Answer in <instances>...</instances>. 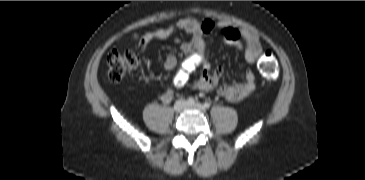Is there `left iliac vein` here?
Listing matches in <instances>:
<instances>
[{"instance_id": "obj_1", "label": "left iliac vein", "mask_w": 365, "mask_h": 180, "mask_svg": "<svg viewBox=\"0 0 365 180\" xmlns=\"http://www.w3.org/2000/svg\"><path fill=\"white\" fill-rule=\"evenodd\" d=\"M186 108L187 109H196L200 112H205V110H206L205 107L200 103H196L194 105H187Z\"/></svg>"}]
</instances>
